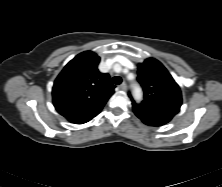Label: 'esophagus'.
<instances>
[{"mask_svg": "<svg viewBox=\"0 0 222 187\" xmlns=\"http://www.w3.org/2000/svg\"><path fill=\"white\" fill-rule=\"evenodd\" d=\"M119 89L125 91L127 89V84L125 82H123L120 86Z\"/></svg>", "mask_w": 222, "mask_h": 187, "instance_id": "obj_1", "label": "esophagus"}]
</instances>
